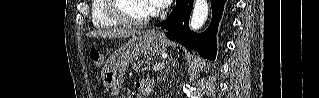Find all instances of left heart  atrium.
Segmentation results:
<instances>
[{"label": "left heart atrium", "mask_w": 319, "mask_h": 98, "mask_svg": "<svg viewBox=\"0 0 319 98\" xmlns=\"http://www.w3.org/2000/svg\"><path fill=\"white\" fill-rule=\"evenodd\" d=\"M151 11L159 12L171 3V0H150Z\"/></svg>", "instance_id": "39dd6f15"}]
</instances>
